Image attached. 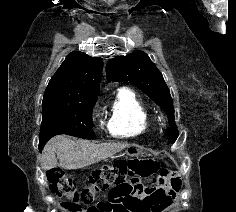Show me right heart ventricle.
Listing matches in <instances>:
<instances>
[{
  "mask_svg": "<svg viewBox=\"0 0 236 212\" xmlns=\"http://www.w3.org/2000/svg\"><path fill=\"white\" fill-rule=\"evenodd\" d=\"M108 132L119 138L134 137L145 133L151 123L148 106L130 88H119L109 111L105 114Z\"/></svg>",
  "mask_w": 236,
  "mask_h": 212,
  "instance_id": "1",
  "label": "right heart ventricle"
}]
</instances>
